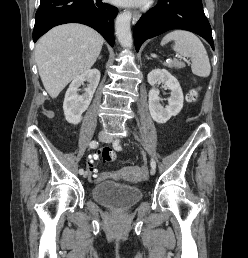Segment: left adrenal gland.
<instances>
[{
    "mask_svg": "<svg viewBox=\"0 0 248 258\" xmlns=\"http://www.w3.org/2000/svg\"><path fill=\"white\" fill-rule=\"evenodd\" d=\"M146 59H147V60H149V59H151V57H149V56H146Z\"/></svg>",
    "mask_w": 248,
    "mask_h": 258,
    "instance_id": "obj_1",
    "label": "left adrenal gland"
}]
</instances>
